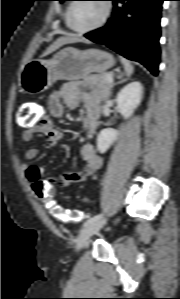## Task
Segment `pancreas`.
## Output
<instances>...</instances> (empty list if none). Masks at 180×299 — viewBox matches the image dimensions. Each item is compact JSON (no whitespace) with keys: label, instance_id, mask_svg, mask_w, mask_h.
I'll use <instances>...</instances> for the list:
<instances>
[{"label":"pancreas","instance_id":"obj_1","mask_svg":"<svg viewBox=\"0 0 180 299\" xmlns=\"http://www.w3.org/2000/svg\"><path fill=\"white\" fill-rule=\"evenodd\" d=\"M109 74L110 73H102L85 77V82L92 90L99 94L101 99L108 98L113 87V83L107 81V76Z\"/></svg>","mask_w":180,"mask_h":299}]
</instances>
